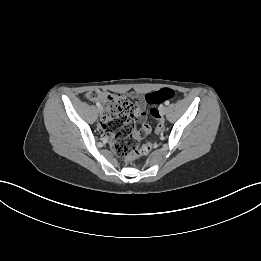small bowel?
Masks as SVG:
<instances>
[{
	"mask_svg": "<svg viewBox=\"0 0 261 261\" xmlns=\"http://www.w3.org/2000/svg\"><path fill=\"white\" fill-rule=\"evenodd\" d=\"M132 97L135 99L137 104V107L134 110V117L137 118L140 122H145L147 119V114L145 111V105H146L145 99L138 93H132ZM152 131L153 128L148 123H145L142 126V132L140 133V138L146 139Z\"/></svg>",
	"mask_w": 261,
	"mask_h": 261,
	"instance_id": "small-bowel-1",
	"label": "small bowel"
}]
</instances>
